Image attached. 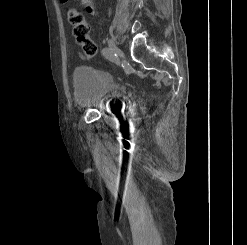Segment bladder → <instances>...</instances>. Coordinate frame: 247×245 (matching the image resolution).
<instances>
[{
	"label": "bladder",
	"instance_id": "bladder-1",
	"mask_svg": "<svg viewBox=\"0 0 247 245\" xmlns=\"http://www.w3.org/2000/svg\"><path fill=\"white\" fill-rule=\"evenodd\" d=\"M73 97L77 106L105 111L119 109L126 100L128 88L110 75L91 66L73 72Z\"/></svg>",
	"mask_w": 247,
	"mask_h": 245
}]
</instances>
